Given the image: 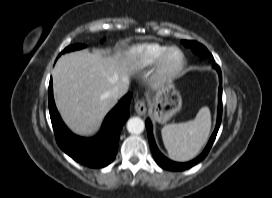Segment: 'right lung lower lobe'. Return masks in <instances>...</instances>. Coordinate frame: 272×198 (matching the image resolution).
<instances>
[{
	"instance_id": "right-lung-lower-lobe-1",
	"label": "right lung lower lobe",
	"mask_w": 272,
	"mask_h": 198,
	"mask_svg": "<svg viewBox=\"0 0 272 198\" xmlns=\"http://www.w3.org/2000/svg\"><path fill=\"white\" fill-rule=\"evenodd\" d=\"M49 111L59 147L75 161L92 168L110 164L117 153L121 129L129 117L131 93L125 95L108 113L101 131L93 138H82L71 133L63 123L54 103L52 79L49 89Z\"/></svg>"
}]
</instances>
